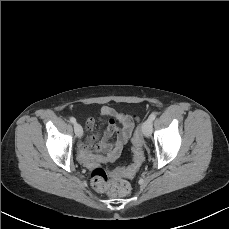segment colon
<instances>
[{
  "label": "colon",
  "mask_w": 229,
  "mask_h": 229,
  "mask_svg": "<svg viewBox=\"0 0 229 229\" xmlns=\"http://www.w3.org/2000/svg\"><path fill=\"white\" fill-rule=\"evenodd\" d=\"M134 161L129 173L135 174L143 162L144 139L141 130H137L133 137ZM92 185L100 191H106L115 198H125L131 192L130 184L122 179L111 180L109 173L104 168L98 167L91 173Z\"/></svg>",
  "instance_id": "1"
}]
</instances>
